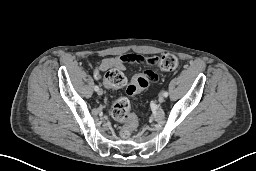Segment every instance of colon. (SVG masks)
I'll return each instance as SVG.
<instances>
[{
  "label": "colon",
  "mask_w": 256,
  "mask_h": 171,
  "mask_svg": "<svg viewBox=\"0 0 256 171\" xmlns=\"http://www.w3.org/2000/svg\"><path fill=\"white\" fill-rule=\"evenodd\" d=\"M153 64L158 70L172 71L178 66V59L173 54H164L158 58L156 57ZM104 81L108 87L117 89L126 84L127 78L121 70L112 69L106 73ZM147 85L148 79L141 73L136 74L127 86V93L129 95H137ZM110 114L114 120L123 123L120 136L123 139L129 138L137 127L138 120L136 115L131 112V105L128 98H117L110 107Z\"/></svg>",
  "instance_id": "1"
}]
</instances>
